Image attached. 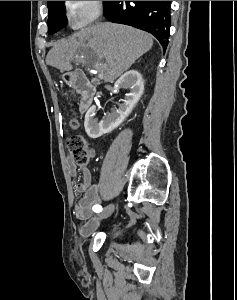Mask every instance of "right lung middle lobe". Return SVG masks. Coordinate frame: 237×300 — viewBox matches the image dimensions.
I'll return each mask as SVG.
<instances>
[{
	"mask_svg": "<svg viewBox=\"0 0 237 300\" xmlns=\"http://www.w3.org/2000/svg\"><path fill=\"white\" fill-rule=\"evenodd\" d=\"M47 6L49 10L48 34H54L67 23L65 5L63 1H47Z\"/></svg>",
	"mask_w": 237,
	"mask_h": 300,
	"instance_id": "1",
	"label": "right lung middle lobe"
}]
</instances>
